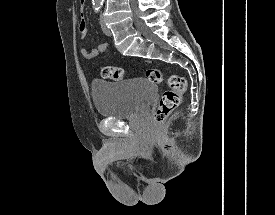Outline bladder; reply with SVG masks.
Listing matches in <instances>:
<instances>
[{
	"mask_svg": "<svg viewBox=\"0 0 275 215\" xmlns=\"http://www.w3.org/2000/svg\"><path fill=\"white\" fill-rule=\"evenodd\" d=\"M157 93L156 84L142 77L114 82L94 80L91 85L98 115L113 119L133 117L147 108Z\"/></svg>",
	"mask_w": 275,
	"mask_h": 215,
	"instance_id": "obj_1",
	"label": "bladder"
}]
</instances>
